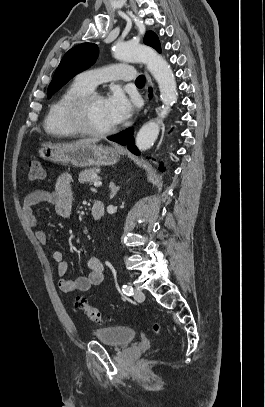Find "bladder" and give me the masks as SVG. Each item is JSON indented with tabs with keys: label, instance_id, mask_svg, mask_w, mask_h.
Returning <instances> with one entry per match:
<instances>
[{
	"label": "bladder",
	"instance_id": "bladder-1",
	"mask_svg": "<svg viewBox=\"0 0 265 407\" xmlns=\"http://www.w3.org/2000/svg\"><path fill=\"white\" fill-rule=\"evenodd\" d=\"M95 338L109 346L125 347L130 345L136 338V330L126 326H108L95 329Z\"/></svg>",
	"mask_w": 265,
	"mask_h": 407
}]
</instances>
